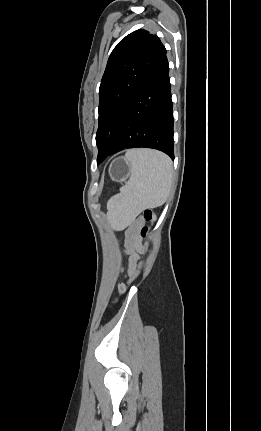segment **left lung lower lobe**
<instances>
[{
	"mask_svg": "<svg viewBox=\"0 0 261 431\" xmlns=\"http://www.w3.org/2000/svg\"><path fill=\"white\" fill-rule=\"evenodd\" d=\"M170 90L169 65L165 54L133 98L109 155L126 148L146 147L160 150L174 159Z\"/></svg>",
	"mask_w": 261,
	"mask_h": 431,
	"instance_id": "obj_1",
	"label": "left lung lower lobe"
}]
</instances>
